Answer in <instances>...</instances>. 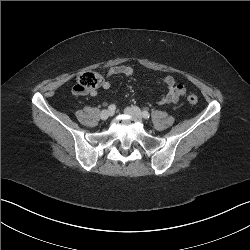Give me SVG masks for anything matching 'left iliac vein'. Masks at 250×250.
Returning <instances> with one entry per match:
<instances>
[{
    "mask_svg": "<svg viewBox=\"0 0 250 250\" xmlns=\"http://www.w3.org/2000/svg\"><path fill=\"white\" fill-rule=\"evenodd\" d=\"M124 112L128 115H132L134 117H136L139 121H142L143 118H142V112L141 110L136 107V106H133V107H127L125 108Z\"/></svg>",
    "mask_w": 250,
    "mask_h": 250,
    "instance_id": "1",
    "label": "left iliac vein"
}]
</instances>
